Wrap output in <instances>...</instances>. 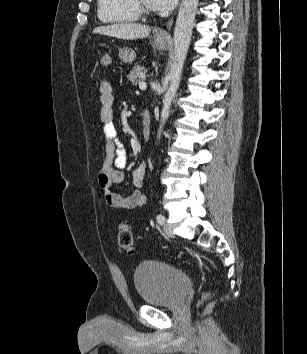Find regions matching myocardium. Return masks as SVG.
Wrapping results in <instances>:
<instances>
[{
  "label": "myocardium",
  "mask_w": 307,
  "mask_h": 354,
  "mask_svg": "<svg viewBox=\"0 0 307 354\" xmlns=\"http://www.w3.org/2000/svg\"><path fill=\"white\" fill-rule=\"evenodd\" d=\"M133 6L139 15H151L152 10L144 4L143 0H132Z\"/></svg>",
  "instance_id": "myocardium-1"
}]
</instances>
